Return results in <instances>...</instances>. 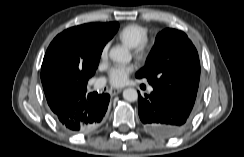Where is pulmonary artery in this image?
<instances>
[{"label":"pulmonary artery","mask_w":244,"mask_h":157,"mask_svg":"<svg viewBox=\"0 0 244 157\" xmlns=\"http://www.w3.org/2000/svg\"><path fill=\"white\" fill-rule=\"evenodd\" d=\"M103 84H104V81L103 80H99V81H97L95 83L94 87H95V89H99V88H101L103 86ZM149 90H152V88L150 87Z\"/></svg>","instance_id":"1"}]
</instances>
